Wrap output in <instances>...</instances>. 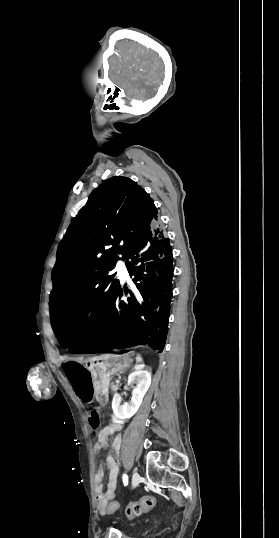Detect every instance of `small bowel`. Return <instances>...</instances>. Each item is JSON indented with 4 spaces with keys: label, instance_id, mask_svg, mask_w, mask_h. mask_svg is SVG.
<instances>
[{
    "label": "small bowel",
    "instance_id": "c3829d8e",
    "mask_svg": "<svg viewBox=\"0 0 279 538\" xmlns=\"http://www.w3.org/2000/svg\"><path fill=\"white\" fill-rule=\"evenodd\" d=\"M66 377L70 383L74 394L84 404H91L94 400V382L92 375L86 369H75L66 372ZM89 425L96 430L100 427L101 416L98 410L94 409L88 417ZM121 423L112 421L109 425L98 430L97 443L95 451H102L108 445V438L115 432L120 431ZM122 437L115 436L112 442L113 454L106 458V466L108 468V483L106 491L103 490L104 469L100 466L95 476L96 485V501L99 508L106 507L108 502L116 495L118 481V465L116 456L119 455L121 449Z\"/></svg>",
    "mask_w": 279,
    "mask_h": 538
}]
</instances>
